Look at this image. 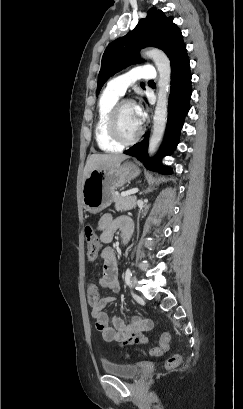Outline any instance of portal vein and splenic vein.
Wrapping results in <instances>:
<instances>
[{
	"label": "portal vein and splenic vein",
	"mask_w": 243,
	"mask_h": 409,
	"mask_svg": "<svg viewBox=\"0 0 243 409\" xmlns=\"http://www.w3.org/2000/svg\"><path fill=\"white\" fill-rule=\"evenodd\" d=\"M137 192H138V189L135 188V189H132V190H130V191H128V192L122 193V196L132 195V194H135V193H137Z\"/></svg>",
	"instance_id": "18ae733b"
}]
</instances>
